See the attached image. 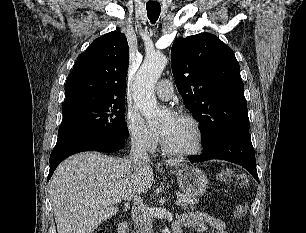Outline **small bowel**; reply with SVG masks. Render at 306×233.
<instances>
[{"instance_id": "small-bowel-1", "label": "small bowel", "mask_w": 306, "mask_h": 233, "mask_svg": "<svg viewBox=\"0 0 306 233\" xmlns=\"http://www.w3.org/2000/svg\"><path fill=\"white\" fill-rule=\"evenodd\" d=\"M179 225L199 227L202 232L212 230L214 233H228L225 220L209 215L205 212H190L182 215Z\"/></svg>"}]
</instances>
